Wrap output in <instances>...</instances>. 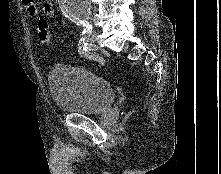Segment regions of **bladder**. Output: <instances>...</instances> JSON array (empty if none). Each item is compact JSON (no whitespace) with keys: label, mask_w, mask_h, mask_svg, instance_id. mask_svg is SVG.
I'll return each instance as SVG.
<instances>
[{"label":"bladder","mask_w":221,"mask_h":174,"mask_svg":"<svg viewBox=\"0 0 221 174\" xmlns=\"http://www.w3.org/2000/svg\"><path fill=\"white\" fill-rule=\"evenodd\" d=\"M48 86L58 110L69 114H99L115 99L112 85L82 67L57 65L48 73Z\"/></svg>","instance_id":"31cf9c89"}]
</instances>
